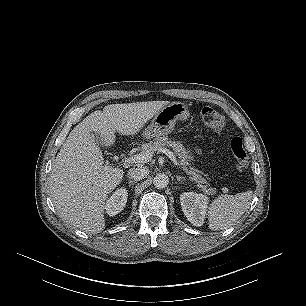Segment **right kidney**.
Returning <instances> with one entry per match:
<instances>
[{
  "instance_id": "1",
  "label": "right kidney",
  "mask_w": 306,
  "mask_h": 306,
  "mask_svg": "<svg viewBox=\"0 0 306 306\" xmlns=\"http://www.w3.org/2000/svg\"><path fill=\"white\" fill-rule=\"evenodd\" d=\"M128 193L125 188L117 189L106 202V212L109 216H115L126 206Z\"/></svg>"
}]
</instances>
